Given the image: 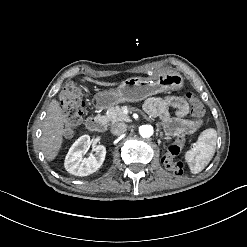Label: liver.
I'll use <instances>...</instances> for the list:
<instances>
[{
    "mask_svg": "<svg viewBox=\"0 0 247 247\" xmlns=\"http://www.w3.org/2000/svg\"><path fill=\"white\" fill-rule=\"evenodd\" d=\"M89 81H92L88 78ZM97 84L109 86L110 84ZM64 118L57 100H52L48 108V113L43 124L42 147L47 160L55 157L60 148L63 134Z\"/></svg>",
    "mask_w": 247,
    "mask_h": 247,
    "instance_id": "liver-1",
    "label": "liver"
}]
</instances>
